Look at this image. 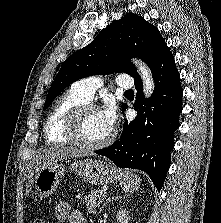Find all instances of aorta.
Returning <instances> with one entry per match:
<instances>
[{"mask_svg": "<svg viewBox=\"0 0 221 223\" xmlns=\"http://www.w3.org/2000/svg\"><path fill=\"white\" fill-rule=\"evenodd\" d=\"M134 63L143 81V90L146 97H149L154 90V80L151 71L142 61L135 59Z\"/></svg>", "mask_w": 221, "mask_h": 223, "instance_id": "aorta-1", "label": "aorta"}]
</instances>
